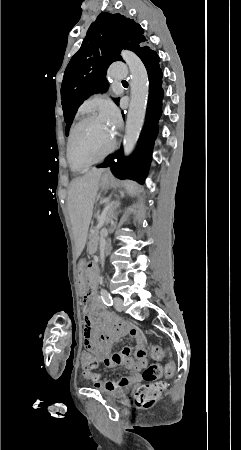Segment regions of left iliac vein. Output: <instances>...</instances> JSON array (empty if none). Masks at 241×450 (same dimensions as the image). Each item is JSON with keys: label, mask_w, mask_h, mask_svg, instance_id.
<instances>
[{"label": "left iliac vein", "mask_w": 241, "mask_h": 450, "mask_svg": "<svg viewBox=\"0 0 241 450\" xmlns=\"http://www.w3.org/2000/svg\"><path fill=\"white\" fill-rule=\"evenodd\" d=\"M114 307L118 311H122L123 310V300H122V298H120V297H115L114 298Z\"/></svg>", "instance_id": "left-iliac-vein-1"}]
</instances>
